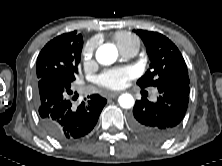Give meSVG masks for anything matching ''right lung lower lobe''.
<instances>
[{
  "mask_svg": "<svg viewBox=\"0 0 222 166\" xmlns=\"http://www.w3.org/2000/svg\"><path fill=\"white\" fill-rule=\"evenodd\" d=\"M36 101L45 131L62 142L88 134L96 125L106 99L98 94L88 96L77 108L68 99L71 81L60 74L46 75L37 80Z\"/></svg>",
  "mask_w": 222,
  "mask_h": 166,
  "instance_id": "98d812e1",
  "label": "right lung lower lobe"
}]
</instances>
